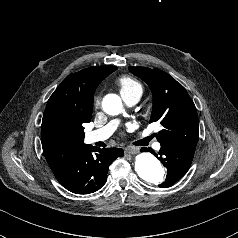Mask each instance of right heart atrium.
<instances>
[{"label": "right heart atrium", "instance_id": "right-heart-atrium-1", "mask_svg": "<svg viewBox=\"0 0 238 238\" xmlns=\"http://www.w3.org/2000/svg\"><path fill=\"white\" fill-rule=\"evenodd\" d=\"M95 103H96V104L98 103V99H97V98H95Z\"/></svg>", "mask_w": 238, "mask_h": 238}]
</instances>
